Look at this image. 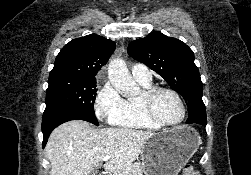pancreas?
I'll return each instance as SVG.
<instances>
[{
    "mask_svg": "<svg viewBox=\"0 0 251 175\" xmlns=\"http://www.w3.org/2000/svg\"><path fill=\"white\" fill-rule=\"evenodd\" d=\"M115 175H143V169L141 167L140 161H135V163H130L126 167H121L118 171H114Z\"/></svg>",
    "mask_w": 251,
    "mask_h": 175,
    "instance_id": "pancreas-1",
    "label": "pancreas"
}]
</instances>
